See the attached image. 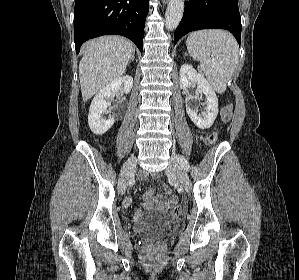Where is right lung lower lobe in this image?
Returning a JSON list of instances; mask_svg holds the SVG:
<instances>
[{
    "mask_svg": "<svg viewBox=\"0 0 299 280\" xmlns=\"http://www.w3.org/2000/svg\"><path fill=\"white\" fill-rule=\"evenodd\" d=\"M149 0H76L74 41L76 53L88 39L118 34L131 39L143 51Z\"/></svg>",
    "mask_w": 299,
    "mask_h": 280,
    "instance_id": "98d812e1",
    "label": "right lung lower lobe"
}]
</instances>
